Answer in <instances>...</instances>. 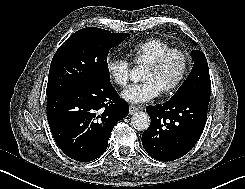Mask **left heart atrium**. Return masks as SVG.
<instances>
[{"mask_svg": "<svg viewBox=\"0 0 245 189\" xmlns=\"http://www.w3.org/2000/svg\"><path fill=\"white\" fill-rule=\"evenodd\" d=\"M161 93V89L152 81L133 84L123 91L122 97L131 103L149 102Z\"/></svg>", "mask_w": 245, "mask_h": 189, "instance_id": "left-heart-atrium-1", "label": "left heart atrium"}]
</instances>
